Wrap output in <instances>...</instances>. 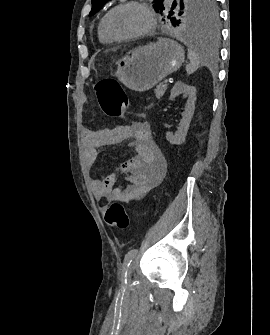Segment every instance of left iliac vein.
I'll return each instance as SVG.
<instances>
[{
	"mask_svg": "<svg viewBox=\"0 0 270 335\" xmlns=\"http://www.w3.org/2000/svg\"><path fill=\"white\" fill-rule=\"evenodd\" d=\"M134 264L135 262L133 261L132 263H130V265L127 267V270H126V280L127 282H130V279H131V274L134 270Z\"/></svg>",
	"mask_w": 270,
	"mask_h": 335,
	"instance_id": "left-iliac-vein-1",
	"label": "left iliac vein"
}]
</instances>
